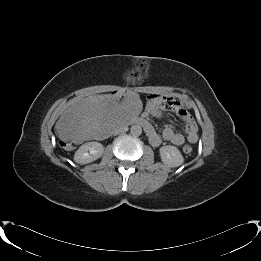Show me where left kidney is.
<instances>
[{"label":"left kidney","instance_id":"obj_1","mask_svg":"<svg viewBox=\"0 0 261 261\" xmlns=\"http://www.w3.org/2000/svg\"><path fill=\"white\" fill-rule=\"evenodd\" d=\"M161 160L164 164L171 168H175L184 163V158L175 146L167 145L159 149Z\"/></svg>","mask_w":261,"mask_h":261}]
</instances>
